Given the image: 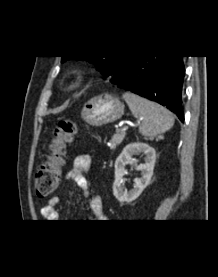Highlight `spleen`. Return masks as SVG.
<instances>
[{"instance_id":"spleen-1","label":"spleen","mask_w":218,"mask_h":277,"mask_svg":"<svg viewBox=\"0 0 218 277\" xmlns=\"http://www.w3.org/2000/svg\"><path fill=\"white\" fill-rule=\"evenodd\" d=\"M123 99L132 114L142 120L139 132L143 136L153 139L173 127L174 117L166 108L130 92L124 93Z\"/></svg>"}]
</instances>
